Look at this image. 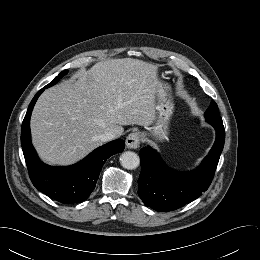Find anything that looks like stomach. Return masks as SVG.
<instances>
[{"label": "stomach", "mask_w": 260, "mask_h": 260, "mask_svg": "<svg viewBox=\"0 0 260 260\" xmlns=\"http://www.w3.org/2000/svg\"><path fill=\"white\" fill-rule=\"evenodd\" d=\"M156 96L157 120L149 130L153 142H164L168 140V126L174 110L170 85L160 81Z\"/></svg>", "instance_id": "obj_1"}]
</instances>
